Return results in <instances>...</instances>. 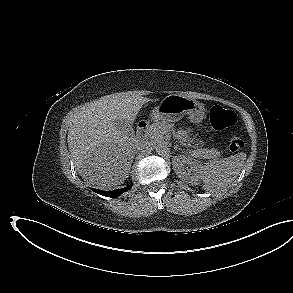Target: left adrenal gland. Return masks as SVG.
Wrapping results in <instances>:
<instances>
[{"label":"left adrenal gland","instance_id":"a2214340","mask_svg":"<svg viewBox=\"0 0 293 293\" xmlns=\"http://www.w3.org/2000/svg\"><path fill=\"white\" fill-rule=\"evenodd\" d=\"M178 147L177 146H174V149H177Z\"/></svg>","mask_w":293,"mask_h":293}]
</instances>
